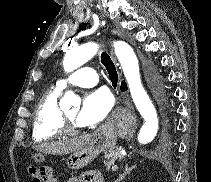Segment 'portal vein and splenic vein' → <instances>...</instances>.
I'll use <instances>...</instances> for the list:
<instances>
[{
	"label": "portal vein and splenic vein",
	"mask_w": 211,
	"mask_h": 182,
	"mask_svg": "<svg viewBox=\"0 0 211 182\" xmlns=\"http://www.w3.org/2000/svg\"><path fill=\"white\" fill-rule=\"evenodd\" d=\"M117 169H118L117 166H113V167H112V171H116Z\"/></svg>",
	"instance_id": "1"
}]
</instances>
